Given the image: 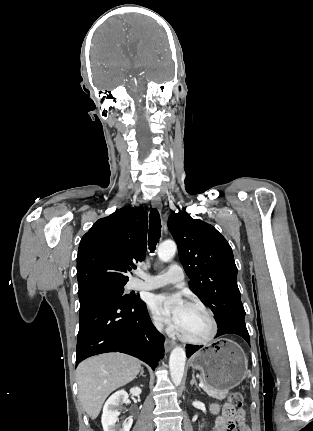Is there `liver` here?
<instances>
[{
  "label": "liver",
  "mask_w": 313,
  "mask_h": 431,
  "mask_svg": "<svg viewBox=\"0 0 313 431\" xmlns=\"http://www.w3.org/2000/svg\"><path fill=\"white\" fill-rule=\"evenodd\" d=\"M131 356L101 354L81 362L76 370L80 401L91 419H96L111 392L131 382L141 370Z\"/></svg>",
  "instance_id": "liver-1"
}]
</instances>
